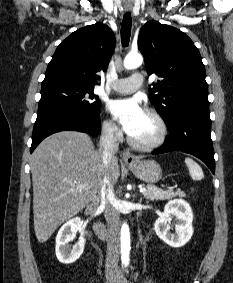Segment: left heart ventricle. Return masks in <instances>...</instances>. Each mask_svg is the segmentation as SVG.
Masks as SVG:
<instances>
[{
  "mask_svg": "<svg viewBox=\"0 0 233 283\" xmlns=\"http://www.w3.org/2000/svg\"><path fill=\"white\" fill-rule=\"evenodd\" d=\"M159 134V126L156 120L144 113L134 130L130 135L140 142H151L157 138Z\"/></svg>",
  "mask_w": 233,
  "mask_h": 283,
  "instance_id": "b2bd125f",
  "label": "left heart ventricle"
}]
</instances>
